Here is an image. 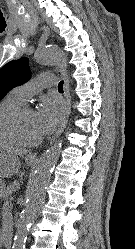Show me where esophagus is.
Returning <instances> with one entry per match:
<instances>
[{"mask_svg":"<svg viewBox=\"0 0 135 249\" xmlns=\"http://www.w3.org/2000/svg\"><path fill=\"white\" fill-rule=\"evenodd\" d=\"M60 72H61V76L64 80V95L66 98L67 108H66V112L64 114V117L62 119L61 125H60L58 131L56 132L53 141H55V139L58 138L61 135V133L64 131L66 124L68 122V119H69L70 112H71V95H70V90H69V80H68V77L66 75V72L63 69H60ZM29 157L30 158H37V154L30 153Z\"/></svg>","mask_w":135,"mask_h":249,"instance_id":"esophagus-1","label":"esophagus"}]
</instances>
